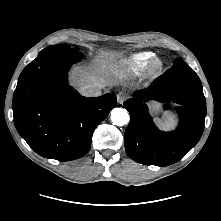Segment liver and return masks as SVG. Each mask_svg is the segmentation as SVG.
<instances>
[{
  "instance_id": "6515ba94",
  "label": "liver",
  "mask_w": 221,
  "mask_h": 221,
  "mask_svg": "<svg viewBox=\"0 0 221 221\" xmlns=\"http://www.w3.org/2000/svg\"><path fill=\"white\" fill-rule=\"evenodd\" d=\"M113 54H105L103 57L112 58ZM103 61L98 62L92 68L77 67L72 71V79L79 86L80 90L89 84L103 83L105 86L111 85L112 81L106 78L104 74Z\"/></svg>"
}]
</instances>
